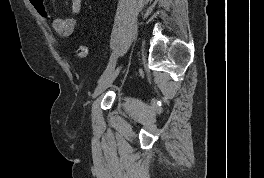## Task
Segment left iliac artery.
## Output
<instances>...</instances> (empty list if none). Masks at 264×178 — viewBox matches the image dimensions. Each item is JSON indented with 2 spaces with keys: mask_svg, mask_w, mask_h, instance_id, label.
I'll return each instance as SVG.
<instances>
[{
  "mask_svg": "<svg viewBox=\"0 0 264 178\" xmlns=\"http://www.w3.org/2000/svg\"><path fill=\"white\" fill-rule=\"evenodd\" d=\"M116 60H117L116 54L113 53L112 56H111V58H110L109 64H108L107 68L105 69L104 73L102 74V76L100 77L99 81L104 76H106L107 74H109L115 68Z\"/></svg>",
  "mask_w": 264,
  "mask_h": 178,
  "instance_id": "1",
  "label": "left iliac artery"
}]
</instances>
